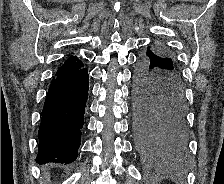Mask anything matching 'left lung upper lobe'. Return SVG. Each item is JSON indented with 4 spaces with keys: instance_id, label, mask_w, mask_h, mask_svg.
Masks as SVG:
<instances>
[{
    "instance_id": "obj_1",
    "label": "left lung upper lobe",
    "mask_w": 224,
    "mask_h": 184,
    "mask_svg": "<svg viewBox=\"0 0 224 184\" xmlns=\"http://www.w3.org/2000/svg\"><path fill=\"white\" fill-rule=\"evenodd\" d=\"M150 49L160 58L165 59V60L173 63L176 67L173 72L177 75H180L179 69L174 62L175 61L174 60V55L167 48L162 47V46H158V47L150 48Z\"/></svg>"
}]
</instances>
